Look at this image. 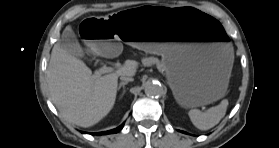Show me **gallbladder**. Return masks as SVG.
I'll return each instance as SVG.
<instances>
[{
	"instance_id": "1",
	"label": "gallbladder",
	"mask_w": 279,
	"mask_h": 148,
	"mask_svg": "<svg viewBox=\"0 0 279 148\" xmlns=\"http://www.w3.org/2000/svg\"><path fill=\"white\" fill-rule=\"evenodd\" d=\"M58 43L69 54L77 57L84 56V51L80 46L74 31L70 27H67L63 31L61 38L58 40Z\"/></svg>"
}]
</instances>
